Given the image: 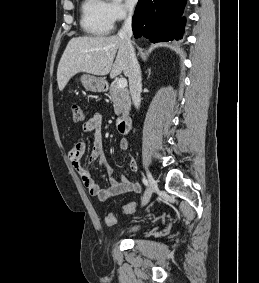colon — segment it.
<instances>
[{"mask_svg":"<svg viewBox=\"0 0 259 283\" xmlns=\"http://www.w3.org/2000/svg\"><path fill=\"white\" fill-rule=\"evenodd\" d=\"M71 112L75 122H82L84 120V112L78 104L71 105ZM137 204L135 202H128L122 207L125 214H131L135 211ZM107 226H114L116 224V217L113 213H108L105 217Z\"/></svg>","mask_w":259,"mask_h":283,"instance_id":"colon-1","label":"colon"}]
</instances>
